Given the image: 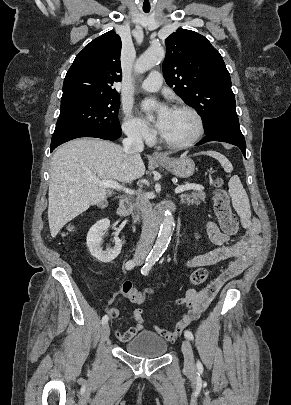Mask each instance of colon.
Instances as JSON below:
<instances>
[{"mask_svg": "<svg viewBox=\"0 0 291 405\" xmlns=\"http://www.w3.org/2000/svg\"><path fill=\"white\" fill-rule=\"evenodd\" d=\"M217 189L214 192V212L218 219L221 230L227 235H235L239 231L238 220L233 213L227 191L222 188L221 180L216 181ZM208 272L204 268L194 270L190 275V282L194 285L202 284L206 281ZM122 294L133 303H143L151 293V288L139 290L130 282H125L122 286Z\"/></svg>", "mask_w": 291, "mask_h": 405, "instance_id": "obj_1", "label": "colon"}]
</instances>
